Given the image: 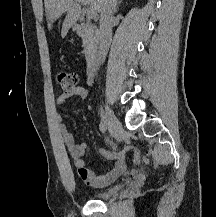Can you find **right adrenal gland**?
I'll list each match as a JSON object with an SVG mask.
<instances>
[{"label":"right adrenal gland","instance_id":"right-adrenal-gland-1","mask_svg":"<svg viewBox=\"0 0 216 217\" xmlns=\"http://www.w3.org/2000/svg\"><path fill=\"white\" fill-rule=\"evenodd\" d=\"M122 1H123V0H119V2H118V5H117V7H116V10H118V9H119V7H120V5H121Z\"/></svg>","mask_w":216,"mask_h":217}]
</instances>
